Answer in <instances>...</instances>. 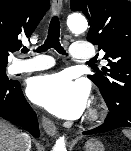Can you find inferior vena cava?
Listing matches in <instances>:
<instances>
[{"instance_id":"1","label":"inferior vena cava","mask_w":131,"mask_h":151,"mask_svg":"<svg viewBox=\"0 0 131 151\" xmlns=\"http://www.w3.org/2000/svg\"><path fill=\"white\" fill-rule=\"evenodd\" d=\"M31 148V140L28 134L21 133L20 134V149L19 151H30Z\"/></svg>"}]
</instances>
